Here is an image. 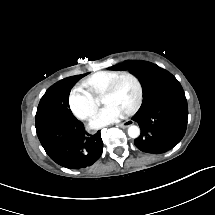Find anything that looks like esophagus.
I'll return each instance as SVG.
<instances>
[{"label":"esophagus","instance_id":"34e87169","mask_svg":"<svg viewBox=\"0 0 215 215\" xmlns=\"http://www.w3.org/2000/svg\"><path fill=\"white\" fill-rule=\"evenodd\" d=\"M133 124H134V121L131 120V119H129V120H127V121H125V122L119 124V126H120L121 128H127V127H129V126H131V125H133Z\"/></svg>","mask_w":215,"mask_h":215}]
</instances>
